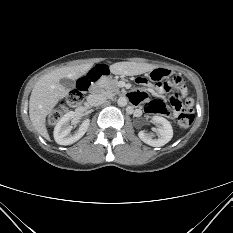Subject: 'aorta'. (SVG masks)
<instances>
[{"label": "aorta", "instance_id": "obj_1", "mask_svg": "<svg viewBox=\"0 0 233 233\" xmlns=\"http://www.w3.org/2000/svg\"><path fill=\"white\" fill-rule=\"evenodd\" d=\"M127 98L126 97H120L118 100H117V104L120 106V107H124L127 105Z\"/></svg>", "mask_w": 233, "mask_h": 233}]
</instances>
